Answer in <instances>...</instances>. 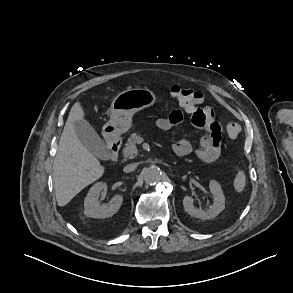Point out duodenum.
<instances>
[{"label":"duodenum","mask_w":293,"mask_h":293,"mask_svg":"<svg viewBox=\"0 0 293 293\" xmlns=\"http://www.w3.org/2000/svg\"><path fill=\"white\" fill-rule=\"evenodd\" d=\"M107 140H108L109 159L111 161L116 162L119 159L121 141L120 139L114 136L108 137Z\"/></svg>","instance_id":"obj_1"}]
</instances>
